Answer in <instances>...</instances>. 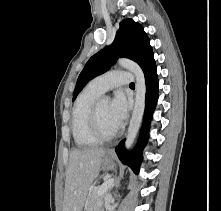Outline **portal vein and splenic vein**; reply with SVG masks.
Segmentation results:
<instances>
[{
  "label": "portal vein and splenic vein",
  "mask_w": 221,
  "mask_h": 211,
  "mask_svg": "<svg viewBox=\"0 0 221 211\" xmlns=\"http://www.w3.org/2000/svg\"><path fill=\"white\" fill-rule=\"evenodd\" d=\"M114 183V179L110 178L108 180H106L100 187L98 190V195L101 196L104 193L107 192V190L109 189V187H111Z\"/></svg>",
  "instance_id": "1"
}]
</instances>
